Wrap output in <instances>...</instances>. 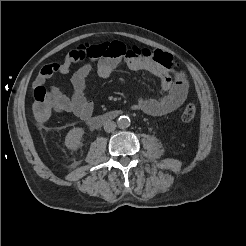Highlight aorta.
Wrapping results in <instances>:
<instances>
[{
  "label": "aorta",
  "mask_w": 246,
  "mask_h": 246,
  "mask_svg": "<svg viewBox=\"0 0 246 246\" xmlns=\"http://www.w3.org/2000/svg\"><path fill=\"white\" fill-rule=\"evenodd\" d=\"M130 118L128 116H120L117 120V124L120 128L124 129L130 126Z\"/></svg>",
  "instance_id": "762f6f07"
}]
</instances>
